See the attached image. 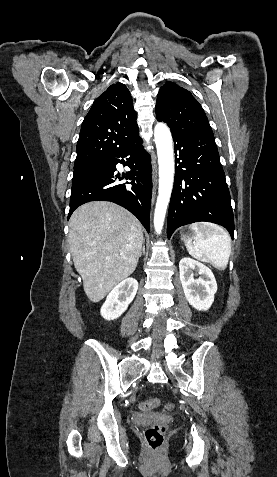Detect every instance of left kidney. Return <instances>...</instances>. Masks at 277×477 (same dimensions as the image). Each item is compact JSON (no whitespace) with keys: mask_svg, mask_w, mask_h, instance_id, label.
<instances>
[{"mask_svg":"<svg viewBox=\"0 0 277 477\" xmlns=\"http://www.w3.org/2000/svg\"><path fill=\"white\" fill-rule=\"evenodd\" d=\"M180 280L189 304L199 311H207L217 292V283L212 271L204 264L184 257L179 262ZM199 278L195 279L194 276Z\"/></svg>","mask_w":277,"mask_h":477,"instance_id":"5707ae66","label":"left kidney"}]
</instances>
